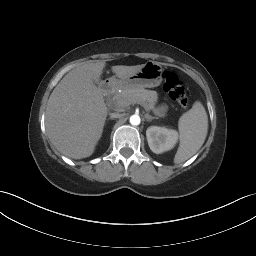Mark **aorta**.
<instances>
[{"label": "aorta", "mask_w": 256, "mask_h": 256, "mask_svg": "<svg viewBox=\"0 0 256 256\" xmlns=\"http://www.w3.org/2000/svg\"><path fill=\"white\" fill-rule=\"evenodd\" d=\"M140 122H141V119H140L139 115H132L130 117V123L132 125L137 126L140 124Z\"/></svg>", "instance_id": "obj_1"}]
</instances>
